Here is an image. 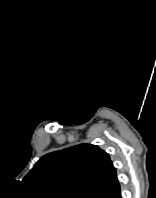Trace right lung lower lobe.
<instances>
[{
	"label": "right lung lower lobe",
	"mask_w": 156,
	"mask_h": 198,
	"mask_svg": "<svg viewBox=\"0 0 156 198\" xmlns=\"http://www.w3.org/2000/svg\"><path fill=\"white\" fill-rule=\"evenodd\" d=\"M116 198H121V193Z\"/></svg>",
	"instance_id": "98d812e1"
}]
</instances>
